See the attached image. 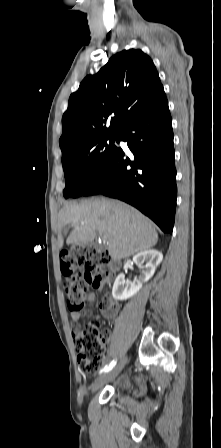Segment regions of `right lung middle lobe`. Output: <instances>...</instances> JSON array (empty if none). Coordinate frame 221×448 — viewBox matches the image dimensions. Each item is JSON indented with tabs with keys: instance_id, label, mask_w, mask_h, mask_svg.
I'll return each instance as SVG.
<instances>
[{
	"instance_id": "1",
	"label": "right lung middle lobe",
	"mask_w": 221,
	"mask_h": 448,
	"mask_svg": "<svg viewBox=\"0 0 221 448\" xmlns=\"http://www.w3.org/2000/svg\"><path fill=\"white\" fill-rule=\"evenodd\" d=\"M118 134L92 140L66 158L62 159L66 187L65 198L83 195L91 182L105 168L117 146Z\"/></svg>"
}]
</instances>
